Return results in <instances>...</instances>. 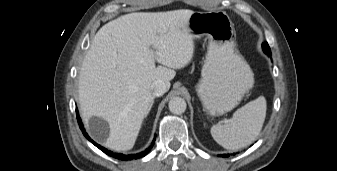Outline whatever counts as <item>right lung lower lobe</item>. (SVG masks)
Instances as JSON below:
<instances>
[{
    "mask_svg": "<svg viewBox=\"0 0 337 171\" xmlns=\"http://www.w3.org/2000/svg\"><path fill=\"white\" fill-rule=\"evenodd\" d=\"M77 120H78V123H79V127L80 129L82 130L84 136L90 141L92 142L96 147H98L100 150H102L104 153L108 154L109 156H112L116 159H119V160H132V159H137V158H141V157H144L146 154L149 153V151L151 150L152 146L154 145V141H155V138L151 144V146L149 148H147L145 151L141 152V153H138V154H130V155H124V154H118V153H113L111 151H108L107 149H105L104 147H101L100 145H98L97 143H95L89 136L88 134L85 132L84 130V127L82 125V122H81V119L77 113Z\"/></svg>",
    "mask_w": 337,
    "mask_h": 171,
    "instance_id": "98d812e1",
    "label": "right lung lower lobe"
}]
</instances>
